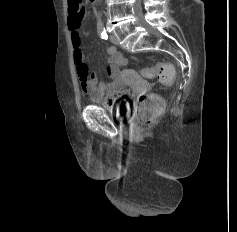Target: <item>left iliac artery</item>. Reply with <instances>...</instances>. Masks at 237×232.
I'll return each mask as SVG.
<instances>
[{
    "label": "left iliac artery",
    "instance_id": "left-iliac-artery-1",
    "mask_svg": "<svg viewBox=\"0 0 237 232\" xmlns=\"http://www.w3.org/2000/svg\"><path fill=\"white\" fill-rule=\"evenodd\" d=\"M97 31H98V33H99V35L101 36L102 39H107L108 38L106 30H105L103 24L99 23L97 25Z\"/></svg>",
    "mask_w": 237,
    "mask_h": 232
}]
</instances>
